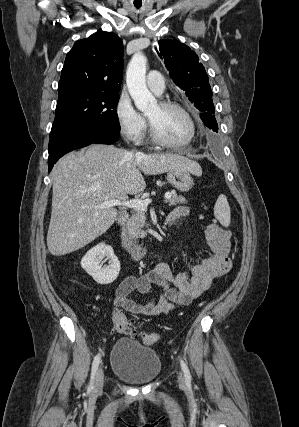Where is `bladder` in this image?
Returning <instances> with one entry per match:
<instances>
[{"label":"bladder","mask_w":299,"mask_h":427,"mask_svg":"<svg viewBox=\"0 0 299 427\" xmlns=\"http://www.w3.org/2000/svg\"><path fill=\"white\" fill-rule=\"evenodd\" d=\"M114 375L132 384L154 380L161 371L160 357L151 349L130 338L119 339L111 350Z\"/></svg>","instance_id":"1"}]
</instances>
